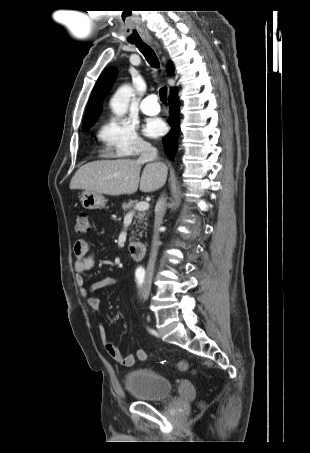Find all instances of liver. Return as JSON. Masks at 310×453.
Returning a JSON list of instances; mask_svg holds the SVG:
<instances>
[{
	"mask_svg": "<svg viewBox=\"0 0 310 453\" xmlns=\"http://www.w3.org/2000/svg\"><path fill=\"white\" fill-rule=\"evenodd\" d=\"M143 162L133 159L98 160L81 166L70 182V189H81L110 196L154 192L166 182L164 164L148 163L140 172Z\"/></svg>",
	"mask_w": 310,
	"mask_h": 453,
	"instance_id": "obj_1",
	"label": "liver"
}]
</instances>
